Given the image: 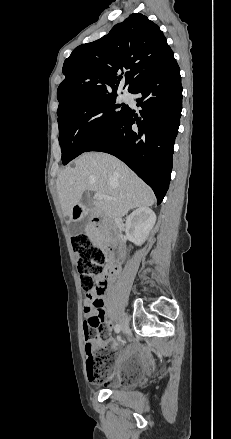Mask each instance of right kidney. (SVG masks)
Wrapping results in <instances>:
<instances>
[{
	"label": "right kidney",
	"mask_w": 231,
	"mask_h": 439,
	"mask_svg": "<svg viewBox=\"0 0 231 439\" xmlns=\"http://www.w3.org/2000/svg\"><path fill=\"white\" fill-rule=\"evenodd\" d=\"M156 222V215L148 207L133 211L126 219V234L135 245H142Z\"/></svg>",
	"instance_id": "1"
}]
</instances>
